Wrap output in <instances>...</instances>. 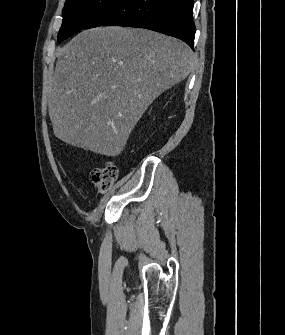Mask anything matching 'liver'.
Here are the masks:
<instances>
[{
    "label": "liver",
    "mask_w": 285,
    "mask_h": 335,
    "mask_svg": "<svg viewBox=\"0 0 285 335\" xmlns=\"http://www.w3.org/2000/svg\"><path fill=\"white\" fill-rule=\"evenodd\" d=\"M56 52L48 96L54 136L103 156H119L148 106L193 66L189 46L139 28L84 30Z\"/></svg>",
    "instance_id": "liver-1"
}]
</instances>
